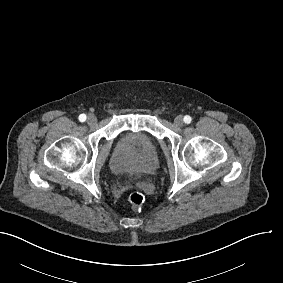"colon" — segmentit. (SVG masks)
Wrapping results in <instances>:
<instances>
[{"label": "colon", "instance_id": "5ec220e1", "mask_svg": "<svg viewBox=\"0 0 283 283\" xmlns=\"http://www.w3.org/2000/svg\"><path fill=\"white\" fill-rule=\"evenodd\" d=\"M128 200L134 208H141L146 202V196L141 191H134L129 195Z\"/></svg>", "mask_w": 283, "mask_h": 283}]
</instances>
